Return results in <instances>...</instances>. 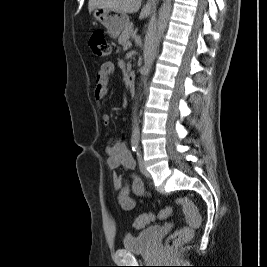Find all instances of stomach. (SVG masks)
<instances>
[{"label":"stomach","instance_id":"stomach-1","mask_svg":"<svg viewBox=\"0 0 267 267\" xmlns=\"http://www.w3.org/2000/svg\"><path fill=\"white\" fill-rule=\"evenodd\" d=\"M93 16L107 29V33L112 38H117L125 26L129 24V18L126 14L107 8H95Z\"/></svg>","mask_w":267,"mask_h":267}]
</instances>
